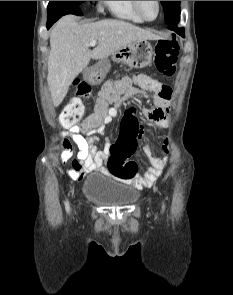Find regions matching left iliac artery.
Returning <instances> with one entry per match:
<instances>
[{
  "instance_id": "44dca946",
  "label": "left iliac artery",
  "mask_w": 233,
  "mask_h": 295,
  "mask_svg": "<svg viewBox=\"0 0 233 295\" xmlns=\"http://www.w3.org/2000/svg\"><path fill=\"white\" fill-rule=\"evenodd\" d=\"M164 208H165V206H164V204H163V210H164Z\"/></svg>"
}]
</instances>
